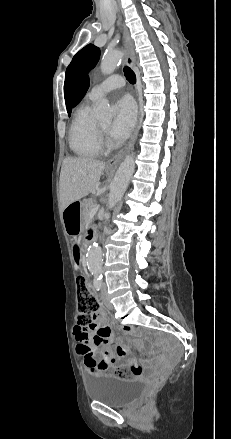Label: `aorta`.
Masks as SVG:
<instances>
[{
  "label": "aorta",
  "instance_id": "762f6f07",
  "mask_svg": "<svg viewBox=\"0 0 231 439\" xmlns=\"http://www.w3.org/2000/svg\"><path fill=\"white\" fill-rule=\"evenodd\" d=\"M123 53L115 50L104 55L101 61V71L104 74H111L121 62ZM114 110L106 99L98 104L96 116L101 121H110L113 117ZM135 162L133 155H128L120 164L113 182L110 186L108 196V208L112 209L120 201L127 189L129 181L134 173ZM103 263V252L98 244H93L87 252V265L89 270L96 276H101Z\"/></svg>",
  "mask_w": 231,
  "mask_h": 439
}]
</instances>
